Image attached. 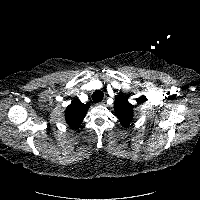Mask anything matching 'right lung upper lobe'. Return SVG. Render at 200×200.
<instances>
[{"label": "right lung upper lobe", "instance_id": "right-lung-upper-lobe-1", "mask_svg": "<svg viewBox=\"0 0 200 200\" xmlns=\"http://www.w3.org/2000/svg\"><path fill=\"white\" fill-rule=\"evenodd\" d=\"M88 109H89L88 103L83 104L78 99L73 100L65 111L66 123L72 129L78 128L81 122L83 121Z\"/></svg>", "mask_w": 200, "mask_h": 200}]
</instances>
